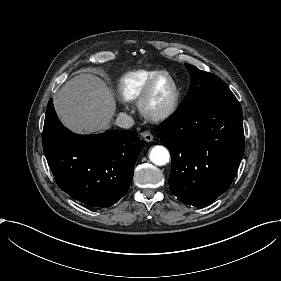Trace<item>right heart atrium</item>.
I'll list each match as a JSON object with an SVG mask.
<instances>
[{
	"label": "right heart atrium",
	"instance_id": "right-heart-atrium-1",
	"mask_svg": "<svg viewBox=\"0 0 281 281\" xmlns=\"http://www.w3.org/2000/svg\"><path fill=\"white\" fill-rule=\"evenodd\" d=\"M105 94V96H107L109 99H110V101L112 102V100H111V98L109 97V95L105 92L104 93ZM113 103V102H112Z\"/></svg>",
	"mask_w": 281,
	"mask_h": 281
}]
</instances>
